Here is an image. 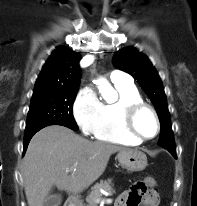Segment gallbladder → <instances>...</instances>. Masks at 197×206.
<instances>
[{
    "instance_id": "bac80fb5",
    "label": "gallbladder",
    "mask_w": 197,
    "mask_h": 206,
    "mask_svg": "<svg viewBox=\"0 0 197 206\" xmlns=\"http://www.w3.org/2000/svg\"><path fill=\"white\" fill-rule=\"evenodd\" d=\"M62 201V197L59 193H54L53 190L47 195L44 206H59Z\"/></svg>"
}]
</instances>
